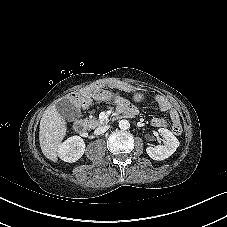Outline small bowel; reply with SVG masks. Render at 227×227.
<instances>
[{
    "mask_svg": "<svg viewBox=\"0 0 227 227\" xmlns=\"http://www.w3.org/2000/svg\"><path fill=\"white\" fill-rule=\"evenodd\" d=\"M111 97L109 94H103L100 96V100L106 101L109 100ZM115 103L117 104L118 110L124 113H132L134 114L136 112L135 108L131 106L125 99L118 97L115 100ZM160 109L162 111H169L171 120L173 123V126L175 124H179V115L175 108L171 106V104L167 101H164L160 104ZM151 125L155 128H165L167 126V122L165 119L160 117H154L151 120Z\"/></svg>",
    "mask_w": 227,
    "mask_h": 227,
    "instance_id": "c3829d8e",
    "label": "small bowel"
}]
</instances>
